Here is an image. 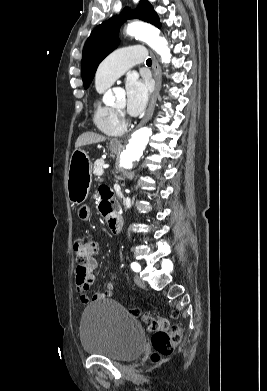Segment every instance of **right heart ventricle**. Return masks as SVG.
<instances>
[{
	"instance_id": "right-heart-ventricle-1",
	"label": "right heart ventricle",
	"mask_w": 267,
	"mask_h": 391,
	"mask_svg": "<svg viewBox=\"0 0 267 391\" xmlns=\"http://www.w3.org/2000/svg\"><path fill=\"white\" fill-rule=\"evenodd\" d=\"M105 88L96 86L99 94ZM93 122L101 132L109 136H119L125 131V125L120 120L119 115L113 108L104 105L98 98L94 101Z\"/></svg>"
}]
</instances>
